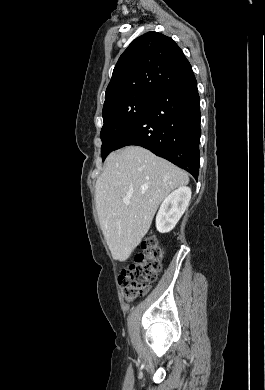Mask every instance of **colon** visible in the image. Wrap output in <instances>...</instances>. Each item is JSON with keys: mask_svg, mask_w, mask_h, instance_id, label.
Listing matches in <instances>:
<instances>
[{"mask_svg": "<svg viewBox=\"0 0 265 390\" xmlns=\"http://www.w3.org/2000/svg\"><path fill=\"white\" fill-rule=\"evenodd\" d=\"M141 247L142 251L135 257L134 262L124 269L118 278L126 300L146 294L161 269L163 251L158 240L148 237Z\"/></svg>", "mask_w": 265, "mask_h": 390, "instance_id": "colon-1", "label": "colon"}]
</instances>
